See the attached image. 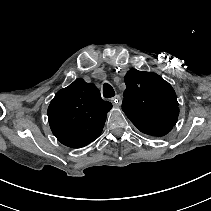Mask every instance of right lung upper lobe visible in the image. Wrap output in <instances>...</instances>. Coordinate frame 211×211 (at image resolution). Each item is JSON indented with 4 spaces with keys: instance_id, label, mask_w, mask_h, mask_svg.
I'll list each match as a JSON object with an SVG mask.
<instances>
[{
    "instance_id": "right-lung-upper-lobe-1",
    "label": "right lung upper lobe",
    "mask_w": 211,
    "mask_h": 211,
    "mask_svg": "<svg viewBox=\"0 0 211 211\" xmlns=\"http://www.w3.org/2000/svg\"><path fill=\"white\" fill-rule=\"evenodd\" d=\"M112 104L97 87L77 79L59 90L48 107L50 128L64 145L80 148L99 137Z\"/></svg>"
}]
</instances>
